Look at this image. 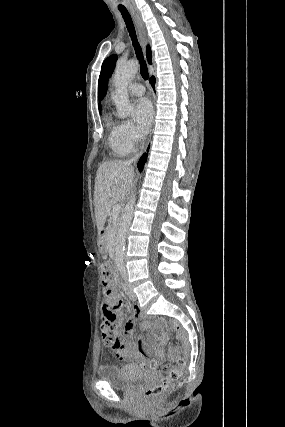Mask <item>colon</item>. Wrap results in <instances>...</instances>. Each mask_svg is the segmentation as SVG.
<instances>
[{
    "instance_id": "obj_1",
    "label": "colon",
    "mask_w": 285,
    "mask_h": 427,
    "mask_svg": "<svg viewBox=\"0 0 285 427\" xmlns=\"http://www.w3.org/2000/svg\"><path fill=\"white\" fill-rule=\"evenodd\" d=\"M102 281L104 286V308L106 310V321L102 324V338L107 349L113 353H117L122 350V344L119 339L118 329L115 324V317L113 311L115 309V286L110 280V266L104 264L101 268ZM168 322L172 328L181 333L182 329L176 321L168 319ZM169 359L172 361L166 367L165 374L161 377L160 383L156 385H150L145 388L144 396L148 403L158 402L163 394L169 389L172 381L178 379L185 366V359L180 355V348L174 346L170 349L168 354ZM141 364L145 367H149L152 370L157 369L158 363L154 357H150Z\"/></svg>"
}]
</instances>
